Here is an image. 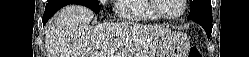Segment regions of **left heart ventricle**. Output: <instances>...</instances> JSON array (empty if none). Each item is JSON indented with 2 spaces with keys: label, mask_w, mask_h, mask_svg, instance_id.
Returning <instances> with one entry per match:
<instances>
[{
  "label": "left heart ventricle",
  "mask_w": 249,
  "mask_h": 57,
  "mask_svg": "<svg viewBox=\"0 0 249 57\" xmlns=\"http://www.w3.org/2000/svg\"><path fill=\"white\" fill-rule=\"evenodd\" d=\"M181 1L180 0H161L160 11L166 15L177 14L181 11Z\"/></svg>",
  "instance_id": "b2bd125f"
}]
</instances>
